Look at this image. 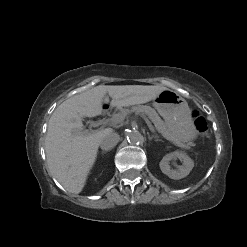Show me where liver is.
<instances>
[{"instance_id":"liver-1","label":"liver","mask_w":247,"mask_h":247,"mask_svg":"<svg viewBox=\"0 0 247 247\" xmlns=\"http://www.w3.org/2000/svg\"><path fill=\"white\" fill-rule=\"evenodd\" d=\"M167 88L161 85H99L75 95L53 112L47 130L45 151L50 174L70 193H80L93 167L101 138L111 132L86 133L83 117L101 114L106 94L113 107H127L154 100Z\"/></svg>"}]
</instances>
